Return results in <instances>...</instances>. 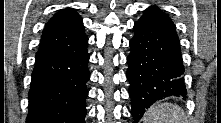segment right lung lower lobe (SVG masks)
Returning a JSON list of instances; mask_svg holds the SVG:
<instances>
[{
  "instance_id": "right-lung-lower-lobe-1",
  "label": "right lung lower lobe",
  "mask_w": 221,
  "mask_h": 123,
  "mask_svg": "<svg viewBox=\"0 0 221 123\" xmlns=\"http://www.w3.org/2000/svg\"><path fill=\"white\" fill-rule=\"evenodd\" d=\"M88 38L84 31L40 45L29 90L27 123H85Z\"/></svg>"
}]
</instances>
